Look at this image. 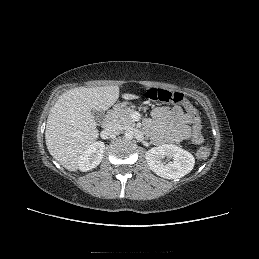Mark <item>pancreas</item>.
Masks as SVG:
<instances>
[{
    "instance_id": "1",
    "label": "pancreas",
    "mask_w": 259,
    "mask_h": 259,
    "mask_svg": "<svg viewBox=\"0 0 259 259\" xmlns=\"http://www.w3.org/2000/svg\"><path fill=\"white\" fill-rule=\"evenodd\" d=\"M133 110L130 108H116L112 112L113 120L123 127H134L135 122L131 118Z\"/></svg>"
}]
</instances>
